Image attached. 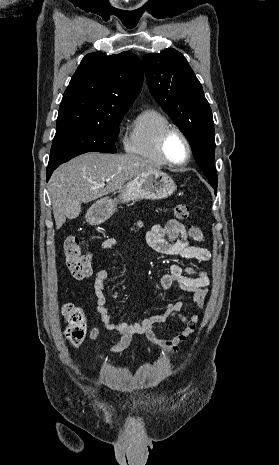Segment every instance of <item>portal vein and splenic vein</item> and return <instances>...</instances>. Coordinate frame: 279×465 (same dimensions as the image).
<instances>
[{"mask_svg": "<svg viewBox=\"0 0 279 465\" xmlns=\"http://www.w3.org/2000/svg\"><path fill=\"white\" fill-rule=\"evenodd\" d=\"M104 185H105V183H102V184H100L99 186H100V187H103Z\"/></svg>", "mask_w": 279, "mask_h": 465, "instance_id": "1", "label": "portal vein and splenic vein"}]
</instances>
